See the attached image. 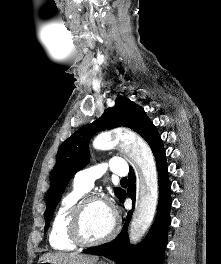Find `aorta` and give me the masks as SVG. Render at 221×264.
Segmentation results:
<instances>
[{
    "label": "aorta",
    "instance_id": "1",
    "mask_svg": "<svg viewBox=\"0 0 221 264\" xmlns=\"http://www.w3.org/2000/svg\"><path fill=\"white\" fill-rule=\"evenodd\" d=\"M120 144L123 152L139 170L137 205L129 226L131 244L138 243L150 227L158 202V178L155 160L150 147L140 138L131 135L102 133L93 141L95 149L107 150Z\"/></svg>",
    "mask_w": 221,
    "mask_h": 264
}]
</instances>
